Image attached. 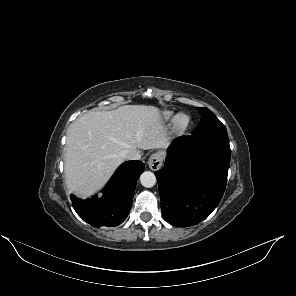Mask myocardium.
<instances>
[{"instance_id": "myocardium-1", "label": "myocardium", "mask_w": 296, "mask_h": 296, "mask_svg": "<svg viewBox=\"0 0 296 296\" xmlns=\"http://www.w3.org/2000/svg\"><path fill=\"white\" fill-rule=\"evenodd\" d=\"M190 123H191V118L187 113L185 112L178 113L173 120L172 133L174 135L182 134L185 130H187Z\"/></svg>"}]
</instances>
